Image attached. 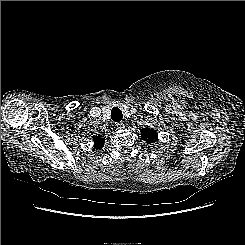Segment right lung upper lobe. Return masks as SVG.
Returning <instances> with one entry per match:
<instances>
[{
	"instance_id": "right-lung-upper-lobe-1",
	"label": "right lung upper lobe",
	"mask_w": 245,
	"mask_h": 245,
	"mask_svg": "<svg viewBox=\"0 0 245 245\" xmlns=\"http://www.w3.org/2000/svg\"><path fill=\"white\" fill-rule=\"evenodd\" d=\"M93 141H94V147L96 149H101L104 145V139L101 137V136H95L93 138Z\"/></svg>"
}]
</instances>
